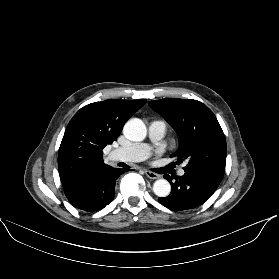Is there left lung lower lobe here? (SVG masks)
<instances>
[{"instance_id":"obj_1","label":"left lung lower lobe","mask_w":279,"mask_h":279,"mask_svg":"<svg viewBox=\"0 0 279 279\" xmlns=\"http://www.w3.org/2000/svg\"><path fill=\"white\" fill-rule=\"evenodd\" d=\"M172 186L169 196L159 198V202L173 211L193 209L206 202L218 186L197 174L185 172L183 176L164 175Z\"/></svg>"}]
</instances>
